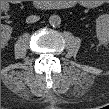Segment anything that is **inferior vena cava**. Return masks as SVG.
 Here are the masks:
<instances>
[{
  "label": "inferior vena cava",
  "instance_id": "obj_1",
  "mask_svg": "<svg viewBox=\"0 0 109 109\" xmlns=\"http://www.w3.org/2000/svg\"><path fill=\"white\" fill-rule=\"evenodd\" d=\"M39 19H40V17L37 16V15H30V16L27 17L26 22H27V23H35V22H37Z\"/></svg>",
  "mask_w": 109,
  "mask_h": 109
}]
</instances>
